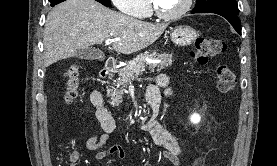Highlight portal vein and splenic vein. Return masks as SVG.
<instances>
[{"mask_svg":"<svg viewBox=\"0 0 277 166\" xmlns=\"http://www.w3.org/2000/svg\"><path fill=\"white\" fill-rule=\"evenodd\" d=\"M119 39H107L106 41H105V44L106 45H110L111 43H113V42H115V41H118Z\"/></svg>","mask_w":277,"mask_h":166,"instance_id":"1","label":"portal vein and splenic vein"}]
</instances>
